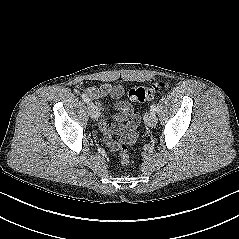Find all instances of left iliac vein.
<instances>
[{"mask_svg":"<svg viewBox=\"0 0 239 239\" xmlns=\"http://www.w3.org/2000/svg\"><path fill=\"white\" fill-rule=\"evenodd\" d=\"M144 122L148 127H154L157 123V117L155 112H147L144 116Z\"/></svg>","mask_w":239,"mask_h":239,"instance_id":"left-iliac-vein-1","label":"left iliac vein"}]
</instances>
